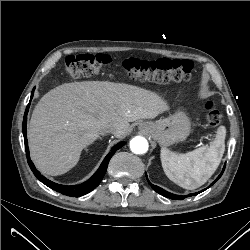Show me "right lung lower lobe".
<instances>
[{
    "label": "right lung lower lobe",
    "mask_w": 250,
    "mask_h": 250,
    "mask_svg": "<svg viewBox=\"0 0 250 250\" xmlns=\"http://www.w3.org/2000/svg\"><path fill=\"white\" fill-rule=\"evenodd\" d=\"M33 93H34V89H33L32 94H31V99L33 97ZM30 102H29V104L26 108L25 114H24L23 135H24V143H25V150H26V155H27V159H28V164H29L31 170L33 171L34 175L42 183L47 185L49 188H51L57 192H60L64 195H67V196L80 197L82 195L89 193L93 189H95L102 181L111 157L116 152V150H118L119 148H121L122 146L125 145V142H120L117 145H115L111 149V151L108 153V155L104 158L103 162L101 163L98 170L94 173V175L89 180L85 181L84 183H82L80 185H71V186L54 183V182L48 180L47 178H45L43 175H41V173L35 168L34 164L30 160L29 148H28V142H27V136H26L27 113L29 110Z\"/></svg>",
    "instance_id": "98d812e1"
}]
</instances>
